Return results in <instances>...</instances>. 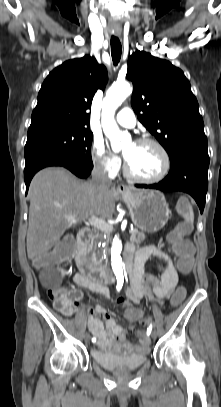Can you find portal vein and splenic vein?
I'll return each instance as SVG.
<instances>
[{"label": "portal vein and splenic vein", "instance_id": "18ae733b", "mask_svg": "<svg viewBox=\"0 0 221 407\" xmlns=\"http://www.w3.org/2000/svg\"><path fill=\"white\" fill-rule=\"evenodd\" d=\"M66 218L70 221V222H74L77 220V217L75 215H68L66 216ZM88 223L91 226H94L95 228L101 230V231H105V232H111L113 230V226L107 222H105L103 219L97 217V216H92L89 218ZM132 231H130L131 233Z\"/></svg>", "mask_w": 221, "mask_h": 407}]
</instances>
